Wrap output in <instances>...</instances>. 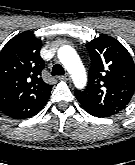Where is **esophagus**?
I'll use <instances>...</instances> for the list:
<instances>
[{
  "mask_svg": "<svg viewBox=\"0 0 135 165\" xmlns=\"http://www.w3.org/2000/svg\"><path fill=\"white\" fill-rule=\"evenodd\" d=\"M59 78L68 81V80H70L71 77H70V75L68 73H66L64 76H59Z\"/></svg>",
  "mask_w": 135,
  "mask_h": 165,
  "instance_id": "34e87169",
  "label": "esophagus"
}]
</instances>
